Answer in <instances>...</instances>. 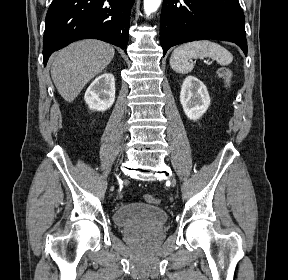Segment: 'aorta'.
<instances>
[{"instance_id": "1", "label": "aorta", "mask_w": 288, "mask_h": 280, "mask_svg": "<svg viewBox=\"0 0 288 280\" xmlns=\"http://www.w3.org/2000/svg\"><path fill=\"white\" fill-rule=\"evenodd\" d=\"M162 0H144V11L147 16L156 12L161 5Z\"/></svg>"}]
</instances>
